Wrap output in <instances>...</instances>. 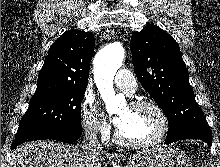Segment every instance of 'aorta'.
Masks as SVG:
<instances>
[{"label": "aorta", "instance_id": "aorta-1", "mask_svg": "<svg viewBox=\"0 0 220 167\" xmlns=\"http://www.w3.org/2000/svg\"><path fill=\"white\" fill-rule=\"evenodd\" d=\"M124 54L120 43H112L100 50L94 59L95 83L109 114L115 113L124 102V98L115 95L113 88L114 76L122 66Z\"/></svg>", "mask_w": 220, "mask_h": 167}]
</instances>
